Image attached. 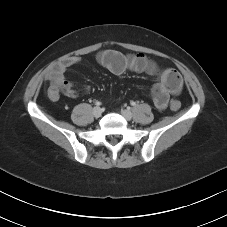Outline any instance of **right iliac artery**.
<instances>
[{"label": "right iliac artery", "instance_id": "right-iliac-artery-1", "mask_svg": "<svg viewBox=\"0 0 227 227\" xmlns=\"http://www.w3.org/2000/svg\"><path fill=\"white\" fill-rule=\"evenodd\" d=\"M95 104H96L97 106H100V105H101V102L97 101Z\"/></svg>", "mask_w": 227, "mask_h": 227}]
</instances>
